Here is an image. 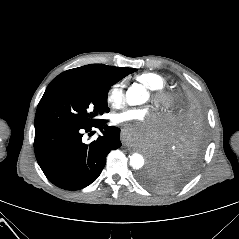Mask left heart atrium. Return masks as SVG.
<instances>
[{"label":"left heart atrium","instance_id":"left-heart-atrium-1","mask_svg":"<svg viewBox=\"0 0 239 239\" xmlns=\"http://www.w3.org/2000/svg\"><path fill=\"white\" fill-rule=\"evenodd\" d=\"M130 121H137L144 130L152 131L158 119L156 114L147 108H130L113 115V122L116 124H123ZM127 132L131 140H136L141 135V132L132 127H128Z\"/></svg>","mask_w":239,"mask_h":239}]
</instances>
